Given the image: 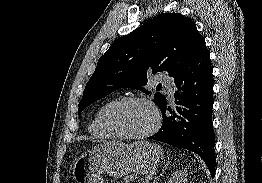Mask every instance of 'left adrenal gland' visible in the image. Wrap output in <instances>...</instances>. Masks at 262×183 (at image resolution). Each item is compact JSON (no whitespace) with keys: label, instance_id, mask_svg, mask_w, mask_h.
<instances>
[{"label":"left adrenal gland","instance_id":"1","mask_svg":"<svg viewBox=\"0 0 262 183\" xmlns=\"http://www.w3.org/2000/svg\"><path fill=\"white\" fill-rule=\"evenodd\" d=\"M169 164H166L165 165V168L162 169V172L160 174V176L153 182V183H157V181L160 179L161 176H163V173L165 172V170L168 168Z\"/></svg>","mask_w":262,"mask_h":183}]
</instances>
